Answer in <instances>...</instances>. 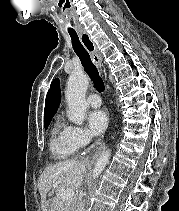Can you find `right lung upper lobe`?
Returning a JSON list of instances; mask_svg holds the SVG:
<instances>
[{
  "label": "right lung upper lobe",
  "instance_id": "obj_1",
  "mask_svg": "<svg viewBox=\"0 0 179 211\" xmlns=\"http://www.w3.org/2000/svg\"><path fill=\"white\" fill-rule=\"evenodd\" d=\"M61 95H60V81L59 79H54L51 83L50 89L46 96L45 109H44V119L53 117L60 105Z\"/></svg>",
  "mask_w": 179,
  "mask_h": 211
}]
</instances>
